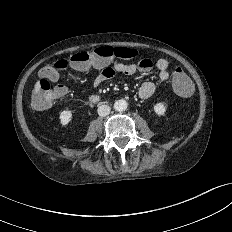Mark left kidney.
Segmentation results:
<instances>
[{"mask_svg": "<svg viewBox=\"0 0 232 232\" xmlns=\"http://www.w3.org/2000/svg\"><path fill=\"white\" fill-rule=\"evenodd\" d=\"M154 111L157 115L161 116L166 112V106L164 103H157L154 105Z\"/></svg>", "mask_w": 232, "mask_h": 232, "instance_id": "1", "label": "left kidney"}]
</instances>
